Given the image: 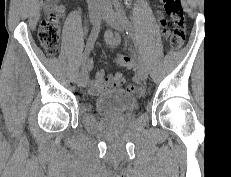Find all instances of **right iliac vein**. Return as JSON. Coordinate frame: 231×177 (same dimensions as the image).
I'll return each mask as SVG.
<instances>
[{"label":"right iliac vein","mask_w":231,"mask_h":177,"mask_svg":"<svg viewBox=\"0 0 231 177\" xmlns=\"http://www.w3.org/2000/svg\"><path fill=\"white\" fill-rule=\"evenodd\" d=\"M101 16V12L98 8H94L90 12V20L93 25H95L97 22H99ZM88 79V74L86 68H82L80 71L78 78H77V83L80 87H84L87 83Z\"/></svg>","instance_id":"1"}]
</instances>
